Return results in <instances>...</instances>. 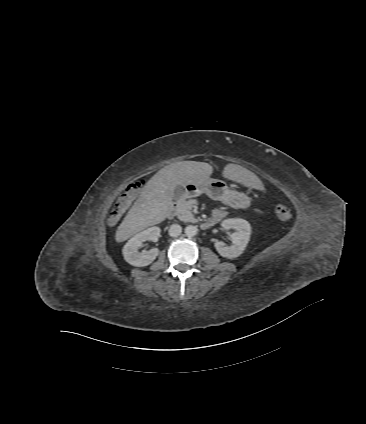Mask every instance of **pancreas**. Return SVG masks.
Wrapping results in <instances>:
<instances>
[{
  "mask_svg": "<svg viewBox=\"0 0 366 424\" xmlns=\"http://www.w3.org/2000/svg\"><path fill=\"white\" fill-rule=\"evenodd\" d=\"M195 204L194 200H181L177 203V214L178 218L183 222L196 223L197 219L192 214L191 210Z\"/></svg>",
  "mask_w": 366,
  "mask_h": 424,
  "instance_id": "obj_1",
  "label": "pancreas"
}]
</instances>
